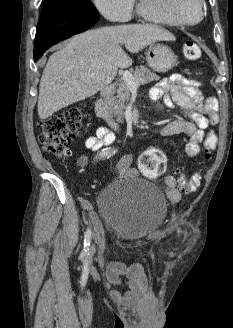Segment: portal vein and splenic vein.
Returning a JSON list of instances; mask_svg holds the SVG:
<instances>
[{"instance_id":"portal-vein-and-splenic-vein-1","label":"portal vein and splenic vein","mask_w":233,"mask_h":328,"mask_svg":"<svg viewBox=\"0 0 233 328\" xmlns=\"http://www.w3.org/2000/svg\"><path fill=\"white\" fill-rule=\"evenodd\" d=\"M122 79L128 85L129 89L134 91L142 83V80H134L133 76L128 71L122 72Z\"/></svg>"}]
</instances>
